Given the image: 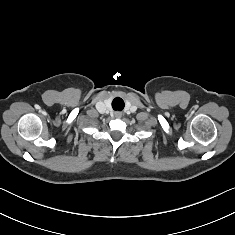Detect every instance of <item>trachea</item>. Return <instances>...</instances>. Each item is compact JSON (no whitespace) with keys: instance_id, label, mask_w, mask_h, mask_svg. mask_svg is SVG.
I'll list each match as a JSON object with an SVG mask.
<instances>
[{"instance_id":"obj_1","label":"trachea","mask_w":235,"mask_h":235,"mask_svg":"<svg viewBox=\"0 0 235 235\" xmlns=\"http://www.w3.org/2000/svg\"><path fill=\"white\" fill-rule=\"evenodd\" d=\"M113 109L114 110H119L121 111L124 107V102L120 98H116L113 103H112Z\"/></svg>"}]
</instances>
